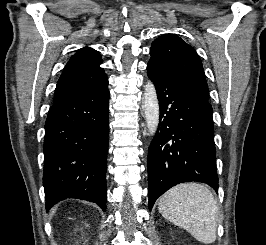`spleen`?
Here are the masks:
<instances>
[{"instance_id":"spleen-1","label":"spleen","mask_w":266,"mask_h":245,"mask_svg":"<svg viewBox=\"0 0 266 245\" xmlns=\"http://www.w3.org/2000/svg\"><path fill=\"white\" fill-rule=\"evenodd\" d=\"M158 211L164 219L182 227L204 245L216 241L217 203L205 185H176L159 199Z\"/></svg>"}]
</instances>
